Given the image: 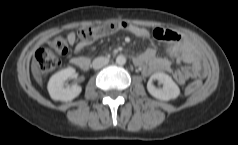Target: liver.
I'll return each mask as SVG.
<instances>
[{"mask_svg":"<svg viewBox=\"0 0 238 145\" xmlns=\"http://www.w3.org/2000/svg\"><path fill=\"white\" fill-rule=\"evenodd\" d=\"M31 71H32L33 77L36 80V82L39 85H42V74L40 71V65L35 57H33V59H32Z\"/></svg>","mask_w":238,"mask_h":145,"instance_id":"1","label":"liver"}]
</instances>
